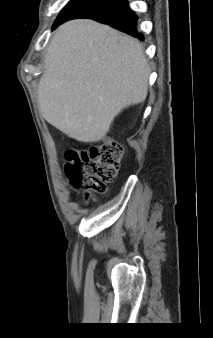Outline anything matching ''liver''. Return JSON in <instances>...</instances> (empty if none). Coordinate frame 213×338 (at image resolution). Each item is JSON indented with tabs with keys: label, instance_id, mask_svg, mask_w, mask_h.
Masks as SVG:
<instances>
[{
	"label": "liver",
	"instance_id": "6515ba94",
	"mask_svg": "<svg viewBox=\"0 0 213 338\" xmlns=\"http://www.w3.org/2000/svg\"><path fill=\"white\" fill-rule=\"evenodd\" d=\"M142 44L107 25L78 19L54 33L38 85L43 118L80 142H97L126 107L148 93Z\"/></svg>",
	"mask_w": 213,
	"mask_h": 338
}]
</instances>
